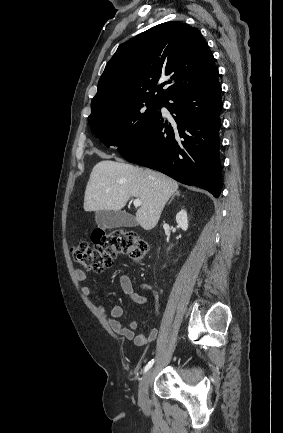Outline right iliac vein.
<instances>
[{
  "label": "right iliac vein",
  "mask_w": 283,
  "mask_h": 433,
  "mask_svg": "<svg viewBox=\"0 0 283 433\" xmlns=\"http://www.w3.org/2000/svg\"><path fill=\"white\" fill-rule=\"evenodd\" d=\"M152 376V369L148 370L145 375L143 376L140 386H139V394H138V401L139 405L143 409H145L149 402H148V387Z\"/></svg>",
  "instance_id": "63e3f726"
}]
</instances>
